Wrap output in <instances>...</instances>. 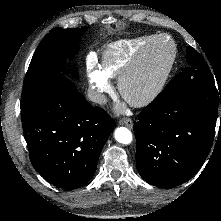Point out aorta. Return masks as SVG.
Wrapping results in <instances>:
<instances>
[{
  "instance_id": "aorta-1",
  "label": "aorta",
  "mask_w": 221,
  "mask_h": 221,
  "mask_svg": "<svg viewBox=\"0 0 221 221\" xmlns=\"http://www.w3.org/2000/svg\"><path fill=\"white\" fill-rule=\"evenodd\" d=\"M114 137L117 142L122 144H130L132 142V133L126 127H119L114 132Z\"/></svg>"
}]
</instances>
